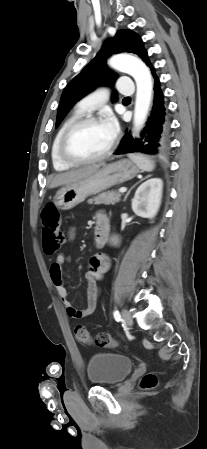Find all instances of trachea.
Listing matches in <instances>:
<instances>
[{
  "label": "trachea",
  "mask_w": 207,
  "mask_h": 449,
  "mask_svg": "<svg viewBox=\"0 0 207 449\" xmlns=\"http://www.w3.org/2000/svg\"><path fill=\"white\" fill-rule=\"evenodd\" d=\"M131 98L130 97H125L123 100H130Z\"/></svg>",
  "instance_id": "obj_1"
}]
</instances>
